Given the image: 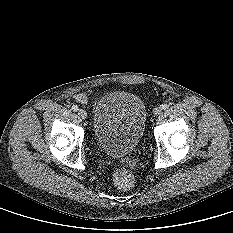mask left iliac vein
<instances>
[{
	"mask_svg": "<svg viewBox=\"0 0 233 233\" xmlns=\"http://www.w3.org/2000/svg\"><path fill=\"white\" fill-rule=\"evenodd\" d=\"M161 111H162V108H161V107H156V108H154V110H153V115H154V116H158V115L161 113Z\"/></svg>",
	"mask_w": 233,
	"mask_h": 233,
	"instance_id": "4c4485c4",
	"label": "left iliac vein"
}]
</instances>
